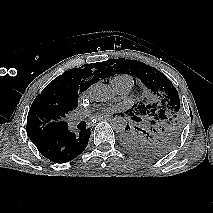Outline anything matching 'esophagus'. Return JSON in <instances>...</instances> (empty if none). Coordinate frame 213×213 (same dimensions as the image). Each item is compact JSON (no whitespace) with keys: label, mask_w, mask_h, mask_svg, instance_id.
<instances>
[{"label":"esophagus","mask_w":213,"mask_h":213,"mask_svg":"<svg viewBox=\"0 0 213 213\" xmlns=\"http://www.w3.org/2000/svg\"><path fill=\"white\" fill-rule=\"evenodd\" d=\"M112 118H113V117L110 116V115H109V116H104V117H103V116H102V117L100 116V117H97L96 120H97V121H101V120H104V119H112Z\"/></svg>","instance_id":"1"}]
</instances>
